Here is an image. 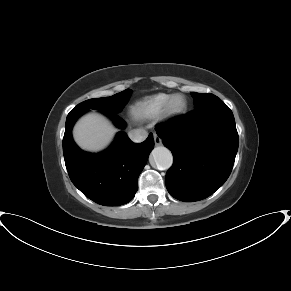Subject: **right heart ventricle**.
I'll list each match as a JSON object with an SVG mask.
<instances>
[{
	"mask_svg": "<svg viewBox=\"0 0 291 291\" xmlns=\"http://www.w3.org/2000/svg\"><path fill=\"white\" fill-rule=\"evenodd\" d=\"M167 99L168 96L165 94H159L146 98L135 103L131 108V112L138 118H154L163 110Z\"/></svg>",
	"mask_w": 291,
	"mask_h": 291,
	"instance_id": "obj_1",
	"label": "right heart ventricle"
}]
</instances>
